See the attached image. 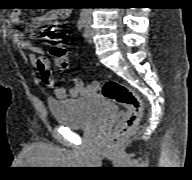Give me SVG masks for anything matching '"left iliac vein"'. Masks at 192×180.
I'll return each instance as SVG.
<instances>
[{"instance_id": "left-iliac-vein-1", "label": "left iliac vein", "mask_w": 192, "mask_h": 180, "mask_svg": "<svg viewBox=\"0 0 192 180\" xmlns=\"http://www.w3.org/2000/svg\"><path fill=\"white\" fill-rule=\"evenodd\" d=\"M84 38L87 42L92 43V33L90 28V22L86 24L85 30H84Z\"/></svg>"}]
</instances>
